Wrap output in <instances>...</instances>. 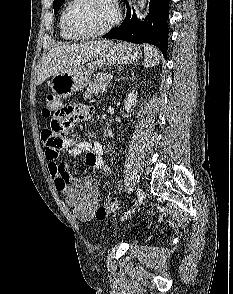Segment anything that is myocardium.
Instances as JSON below:
<instances>
[{
  "label": "myocardium",
  "mask_w": 233,
  "mask_h": 294,
  "mask_svg": "<svg viewBox=\"0 0 233 294\" xmlns=\"http://www.w3.org/2000/svg\"><path fill=\"white\" fill-rule=\"evenodd\" d=\"M105 1L108 4H110L113 9V17L110 20V22L105 27H103L101 30H98L96 32L79 33L72 28V26L70 25V21H69L70 12H71L72 8L74 7V5L79 2V0H71L65 9L64 18H63L64 26H65L66 30L68 31V33H70L76 39H91V38L103 36V35L107 34L109 31H111L119 23V21L121 19V12H120V8H119L116 0H105Z\"/></svg>",
  "instance_id": "1"
}]
</instances>
